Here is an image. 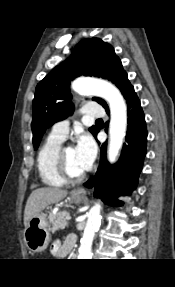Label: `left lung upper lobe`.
I'll use <instances>...</instances> for the list:
<instances>
[{
	"instance_id": "5c2ea615",
	"label": "left lung upper lobe",
	"mask_w": 175,
	"mask_h": 287,
	"mask_svg": "<svg viewBox=\"0 0 175 287\" xmlns=\"http://www.w3.org/2000/svg\"><path fill=\"white\" fill-rule=\"evenodd\" d=\"M81 74L108 79L122 94L131 85L121 60L110 44L99 38L82 40L71 56L56 66L36 87L32 120L34 149H37L48 127L73 113L69 84ZM93 100L109 110L103 99L94 97ZM89 131L94 136L98 132L94 126Z\"/></svg>"
}]
</instances>
